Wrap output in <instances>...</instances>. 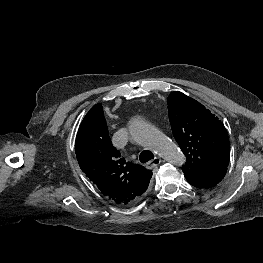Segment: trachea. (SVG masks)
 I'll use <instances>...</instances> for the list:
<instances>
[{"label": "trachea", "mask_w": 263, "mask_h": 263, "mask_svg": "<svg viewBox=\"0 0 263 263\" xmlns=\"http://www.w3.org/2000/svg\"><path fill=\"white\" fill-rule=\"evenodd\" d=\"M154 158V155L151 151L149 150H144L140 153L139 160L140 162H148Z\"/></svg>", "instance_id": "trachea-1"}]
</instances>
